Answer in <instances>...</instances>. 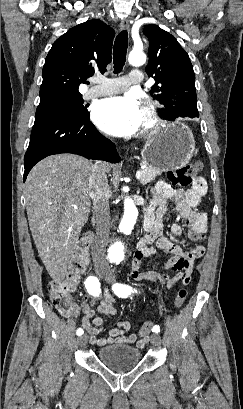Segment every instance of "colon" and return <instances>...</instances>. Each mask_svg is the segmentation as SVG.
Returning a JSON list of instances; mask_svg holds the SVG:
<instances>
[{"mask_svg":"<svg viewBox=\"0 0 243 409\" xmlns=\"http://www.w3.org/2000/svg\"><path fill=\"white\" fill-rule=\"evenodd\" d=\"M199 163H191L179 167L168 173V178L175 185L189 187L195 182V177L200 169ZM92 243L91 234H84L79 239L76 249L70 259L67 276L64 280H54L49 284V295L52 304L64 316L72 315L73 304L71 294L75 291L80 275L89 264V250ZM187 297V290L180 288L174 300L177 308L183 306ZM153 323L146 322L140 329V337H146L151 332Z\"/></svg>","mask_w":243,"mask_h":409,"instance_id":"colon-1","label":"colon"}]
</instances>
